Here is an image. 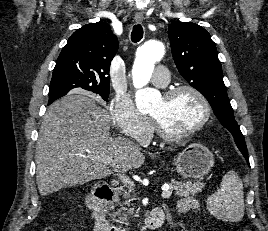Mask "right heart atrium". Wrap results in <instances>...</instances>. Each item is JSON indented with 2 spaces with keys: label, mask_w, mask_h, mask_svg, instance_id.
Here are the masks:
<instances>
[{
  "label": "right heart atrium",
  "mask_w": 268,
  "mask_h": 231,
  "mask_svg": "<svg viewBox=\"0 0 268 231\" xmlns=\"http://www.w3.org/2000/svg\"><path fill=\"white\" fill-rule=\"evenodd\" d=\"M109 112L116 129L139 144L147 143L153 133L151 119L141 113L129 93L115 95L109 104Z\"/></svg>",
  "instance_id": "right-heart-atrium-1"
}]
</instances>
